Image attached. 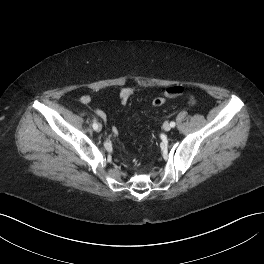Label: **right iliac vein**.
Instances as JSON below:
<instances>
[{"label":"right iliac vein","mask_w":264,"mask_h":264,"mask_svg":"<svg viewBox=\"0 0 264 264\" xmlns=\"http://www.w3.org/2000/svg\"><path fill=\"white\" fill-rule=\"evenodd\" d=\"M98 131H101L102 130V125L101 124H99V126H98V129H97Z\"/></svg>","instance_id":"obj_1"}]
</instances>
